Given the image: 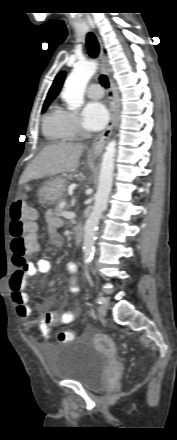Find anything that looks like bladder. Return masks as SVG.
Here are the masks:
<instances>
[{
    "instance_id": "1",
    "label": "bladder",
    "mask_w": 177,
    "mask_h": 440,
    "mask_svg": "<svg viewBox=\"0 0 177 440\" xmlns=\"http://www.w3.org/2000/svg\"><path fill=\"white\" fill-rule=\"evenodd\" d=\"M108 356L92 344L69 341L63 344L50 365L55 379L81 384L88 390H98L104 383Z\"/></svg>"
}]
</instances>
